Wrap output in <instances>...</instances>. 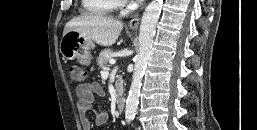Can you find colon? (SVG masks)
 <instances>
[{
    "label": "colon",
    "mask_w": 257,
    "mask_h": 130,
    "mask_svg": "<svg viewBox=\"0 0 257 130\" xmlns=\"http://www.w3.org/2000/svg\"><path fill=\"white\" fill-rule=\"evenodd\" d=\"M71 79L75 82H82L85 78V72L81 67L72 66L70 68Z\"/></svg>",
    "instance_id": "colon-1"
}]
</instances>
